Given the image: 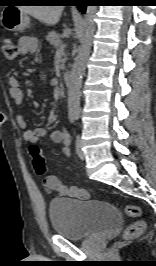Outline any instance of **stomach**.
<instances>
[{"label": "stomach", "instance_id": "obj_1", "mask_svg": "<svg viewBox=\"0 0 156 266\" xmlns=\"http://www.w3.org/2000/svg\"><path fill=\"white\" fill-rule=\"evenodd\" d=\"M3 25L11 31H24L29 26V18L19 8H10L4 11Z\"/></svg>", "mask_w": 156, "mask_h": 266}]
</instances>
